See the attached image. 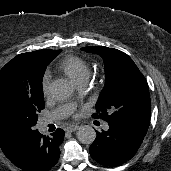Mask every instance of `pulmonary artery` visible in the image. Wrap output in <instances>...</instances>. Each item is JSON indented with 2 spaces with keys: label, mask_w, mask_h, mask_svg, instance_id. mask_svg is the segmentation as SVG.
I'll return each instance as SVG.
<instances>
[{
  "label": "pulmonary artery",
  "mask_w": 171,
  "mask_h": 171,
  "mask_svg": "<svg viewBox=\"0 0 171 171\" xmlns=\"http://www.w3.org/2000/svg\"><path fill=\"white\" fill-rule=\"evenodd\" d=\"M86 85V81H82L77 83V87L82 89ZM73 108L71 106H62L61 108L55 110L52 115L46 119V122H50L55 119H60L71 113ZM109 128V125L107 123L103 124V129L107 130Z\"/></svg>",
  "instance_id": "1"
}]
</instances>
